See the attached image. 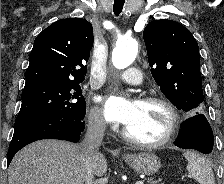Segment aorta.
<instances>
[{
  "instance_id": "aorta-1",
  "label": "aorta",
  "mask_w": 224,
  "mask_h": 184,
  "mask_svg": "<svg viewBox=\"0 0 224 184\" xmlns=\"http://www.w3.org/2000/svg\"><path fill=\"white\" fill-rule=\"evenodd\" d=\"M138 53V43L133 38H121L112 52V62L115 68L125 69L135 60Z\"/></svg>"
}]
</instances>
